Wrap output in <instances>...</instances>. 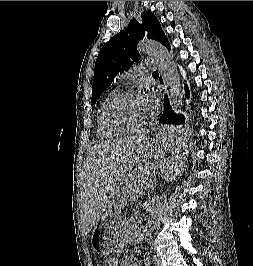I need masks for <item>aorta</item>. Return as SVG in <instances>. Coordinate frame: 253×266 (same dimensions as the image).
I'll return each mask as SVG.
<instances>
[{
    "label": "aorta",
    "mask_w": 253,
    "mask_h": 266,
    "mask_svg": "<svg viewBox=\"0 0 253 266\" xmlns=\"http://www.w3.org/2000/svg\"><path fill=\"white\" fill-rule=\"evenodd\" d=\"M138 51L148 54L157 61L159 74L165 86L169 88L168 98L171 109L176 113L180 112L183 104V92L177 66L168 50L158 42L142 41L138 44Z\"/></svg>",
    "instance_id": "aorta-1"
}]
</instances>
